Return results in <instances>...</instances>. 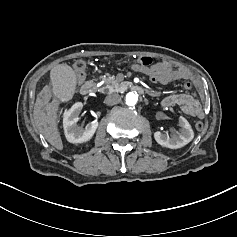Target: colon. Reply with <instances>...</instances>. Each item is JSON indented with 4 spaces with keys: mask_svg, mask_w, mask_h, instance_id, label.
I'll use <instances>...</instances> for the list:
<instances>
[{
    "mask_svg": "<svg viewBox=\"0 0 237 237\" xmlns=\"http://www.w3.org/2000/svg\"><path fill=\"white\" fill-rule=\"evenodd\" d=\"M136 63L150 72L148 77L151 81L155 83H168V78L161 71L160 63L156 59L144 56L140 57ZM73 69L78 76H83L86 71V64L82 60H77L73 64ZM195 128L198 131H202L204 129V123L202 121H197L195 123Z\"/></svg>",
    "mask_w": 237,
    "mask_h": 237,
    "instance_id": "1",
    "label": "colon"
}]
</instances>
